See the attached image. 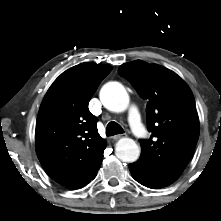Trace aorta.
I'll use <instances>...</instances> for the list:
<instances>
[{
	"label": "aorta",
	"instance_id": "762f6f07",
	"mask_svg": "<svg viewBox=\"0 0 221 221\" xmlns=\"http://www.w3.org/2000/svg\"><path fill=\"white\" fill-rule=\"evenodd\" d=\"M100 100L105 108L113 112H123L128 108L129 95L119 82H108L100 90ZM116 156L123 162H135L140 156V148L133 139H120L115 148Z\"/></svg>",
	"mask_w": 221,
	"mask_h": 221
}]
</instances>
